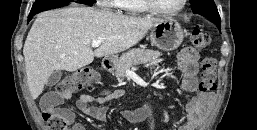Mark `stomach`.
I'll return each instance as SVG.
<instances>
[{
    "label": "stomach",
    "mask_w": 257,
    "mask_h": 130,
    "mask_svg": "<svg viewBox=\"0 0 257 130\" xmlns=\"http://www.w3.org/2000/svg\"><path fill=\"white\" fill-rule=\"evenodd\" d=\"M150 39L157 48L163 51H173L183 42L184 31L175 19L164 18L152 27ZM117 61V57H106L103 64L110 62L115 66Z\"/></svg>",
    "instance_id": "obj_1"
}]
</instances>
